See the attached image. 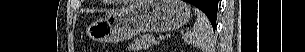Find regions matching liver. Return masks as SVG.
I'll list each match as a JSON object with an SVG mask.
<instances>
[{"mask_svg":"<svg viewBox=\"0 0 305 52\" xmlns=\"http://www.w3.org/2000/svg\"><path fill=\"white\" fill-rule=\"evenodd\" d=\"M142 3H144V2H141L140 4H142ZM140 4L132 5L130 8H133V7L138 6V5H140ZM130 8H127V9H130ZM127 9H122V10H119V11L112 12L110 15L119 14V13H121V12L127 10Z\"/></svg>","mask_w":305,"mask_h":52,"instance_id":"liver-1","label":"liver"}]
</instances>
